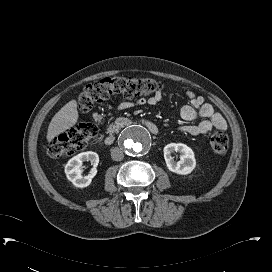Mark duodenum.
<instances>
[{
    "label": "duodenum",
    "mask_w": 272,
    "mask_h": 272,
    "mask_svg": "<svg viewBox=\"0 0 272 272\" xmlns=\"http://www.w3.org/2000/svg\"><path fill=\"white\" fill-rule=\"evenodd\" d=\"M144 126L153 134V135H157L159 133L158 127L147 120L143 121ZM129 125H131V122L129 120H123L120 124H119V129H122L124 127H128ZM117 133L111 132L109 133L107 136H105L102 139V144L104 145H111L114 143L115 139H116Z\"/></svg>",
    "instance_id": "410a0bca"
}]
</instances>
